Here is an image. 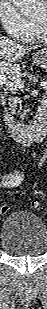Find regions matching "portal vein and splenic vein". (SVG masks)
<instances>
[{
  "label": "portal vein and splenic vein",
  "instance_id": "18ae733b",
  "mask_svg": "<svg viewBox=\"0 0 47 309\" xmlns=\"http://www.w3.org/2000/svg\"><path fill=\"white\" fill-rule=\"evenodd\" d=\"M0 82L1 84H6L10 87L19 88V89L24 88V81H22L21 79L17 77L8 78L6 76H1ZM44 86L46 85L44 84Z\"/></svg>",
  "mask_w": 47,
  "mask_h": 309
}]
</instances>
